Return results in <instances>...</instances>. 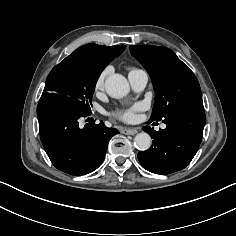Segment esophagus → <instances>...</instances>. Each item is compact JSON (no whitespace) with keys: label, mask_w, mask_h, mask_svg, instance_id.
Wrapping results in <instances>:
<instances>
[{"label":"esophagus","mask_w":236,"mask_h":236,"mask_svg":"<svg viewBox=\"0 0 236 236\" xmlns=\"http://www.w3.org/2000/svg\"><path fill=\"white\" fill-rule=\"evenodd\" d=\"M121 133L125 135H135L138 133V131L135 128H128V129H122Z\"/></svg>","instance_id":"obj_1"}]
</instances>
